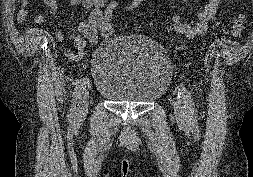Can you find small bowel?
I'll list each match as a JSON object with an SVG mask.
<instances>
[{"mask_svg":"<svg viewBox=\"0 0 253 177\" xmlns=\"http://www.w3.org/2000/svg\"><path fill=\"white\" fill-rule=\"evenodd\" d=\"M188 0H182L186 3ZM53 13L58 11L56 0H43ZM108 0H70L73 7H80L82 19L77 25V30L69 31L68 37L75 46V51H68L67 57L71 60H80L86 53L87 45L97 42L102 24L103 12ZM222 0H208L207 4L199 11L197 22L187 23L183 20L182 15L175 14L172 17L173 29L176 33L184 35L186 38L193 40L204 35L218 14ZM21 9L18 14V20L24 22L29 14V0H20ZM43 19V17H39ZM56 36L62 39L61 33L57 32Z\"/></svg>","mask_w":253,"mask_h":177,"instance_id":"small-bowel-1","label":"small bowel"}]
</instances>
